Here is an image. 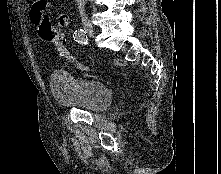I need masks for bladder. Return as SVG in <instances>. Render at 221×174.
Wrapping results in <instances>:
<instances>
[{
	"mask_svg": "<svg viewBox=\"0 0 221 174\" xmlns=\"http://www.w3.org/2000/svg\"><path fill=\"white\" fill-rule=\"evenodd\" d=\"M53 99L61 106L85 111H102L112 102V92L102 81L56 70L50 77Z\"/></svg>",
	"mask_w": 221,
	"mask_h": 174,
	"instance_id": "bladder-1",
	"label": "bladder"
}]
</instances>
